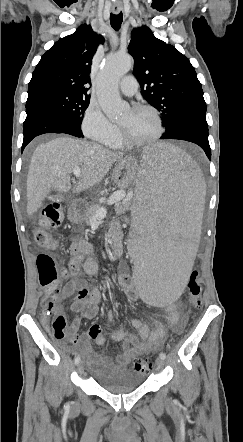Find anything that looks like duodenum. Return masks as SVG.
<instances>
[{
    "mask_svg": "<svg viewBox=\"0 0 243 442\" xmlns=\"http://www.w3.org/2000/svg\"><path fill=\"white\" fill-rule=\"evenodd\" d=\"M113 250L115 253H121L122 251L120 232H116L113 236Z\"/></svg>",
    "mask_w": 243,
    "mask_h": 442,
    "instance_id": "410a0bca",
    "label": "duodenum"
}]
</instances>
